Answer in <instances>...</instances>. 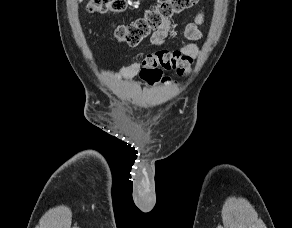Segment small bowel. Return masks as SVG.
Wrapping results in <instances>:
<instances>
[{"mask_svg": "<svg viewBox=\"0 0 292 228\" xmlns=\"http://www.w3.org/2000/svg\"><path fill=\"white\" fill-rule=\"evenodd\" d=\"M204 17H205L204 11H200L195 16L193 22L188 23L184 26L183 33L185 37L188 40H190V43L185 47L181 48L180 50L173 51L179 54L184 59L188 67H190L193 59L197 56L199 51L196 41H198L202 37V33L199 30V26L203 23ZM170 28L171 26L169 20L165 21L157 30H155L152 33L150 37L151 43L154 46L163 48L166 44V38L170 32ZM161 51L167 50L162 49ZM141 68L142 62H134L128 66L121 67L120 72L127 77H135L139 74Z\"/></svg>", "mask_w": 292, "mask_h": 228, "instance_id": "obj_1", "label": "small bowel"}]
</instances>
